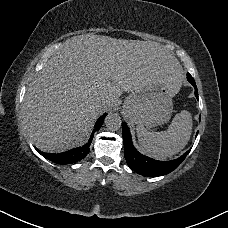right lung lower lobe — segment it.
<instances>
[{
	"instance_id": "obj_1",
	"label": "right lung lower lobe",
	"mask_w": 228,
	"mask_h": 228,
	"mask_svg": "<svg viewBox=\"0 0 228 228\" xmlns=\"http://www.w3.org/2000/svg\"><path fill=\"white\" fill-rule=\"evenodd\" d=\"M106 117V114L102 115L96 122L95 126H94V130L90 136V139L88 141V143H86L84 146L82 147H78V148H74L70 151L67 152H63V153H58V154H48V153H44V152H40L38 149L37 151L46 159L55 162L57 164H70V163H74L77 162L81 159H83L90 151L89 146L90 143L93 139V135L94 132L99 130L104 122V119Z\"/></svg>"
}]
</instances>
